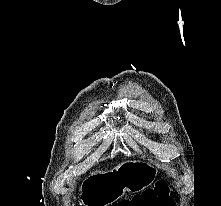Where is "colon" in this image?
Listing matches in <instances>:
<instances>
[{"label": "colon", "instance_id": "1", "mask_svg": "<svg viewBox=\"0 0 221 206\" xmlns=\"http://www.w3.org/2000/svg\"><path fill=\"white\" fill-rule=\"evenodd\" d=\"M173 199L168 193L166 183L159 181L154 188L145 190L131 200H120L111 206H172Z\"/></svg>", "mask_w": 221, "mask_h": 206}]
</instances>
